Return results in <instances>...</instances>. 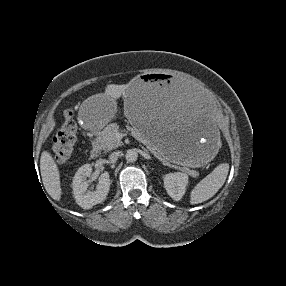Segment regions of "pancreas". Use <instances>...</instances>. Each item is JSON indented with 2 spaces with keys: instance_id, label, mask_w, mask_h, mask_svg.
Instances as JSON below:
<instances>
[{
  "instance_id": "pancreas-1",
  "label": "pancreas",
  "mask_w": 286,
  "mask_h": 286,
  "mask_svg": "<svg viewBox=\"0 0 286 286\" xmlns=\"http://www.w3.org/2000/svg\"><path fill=\"white\" fill-rule=\"evenodd\" d=\"M128 130L133 137H135L139 142L144 144L147 149L163 164L170 165V161L162 154H160L156 150L153 143L149 139H147L141 132L131 127H129ZM121 132L122 130L117 123H111L107 125L101 132H99L97 138L95 139V142L93 143V146L98 150H104L105 152L111 151L122 144L121 140L117 137V134ZM188 173L194 178H197L199 176V173L193 170H188Z\"/></svg>"
}]
</instances>
